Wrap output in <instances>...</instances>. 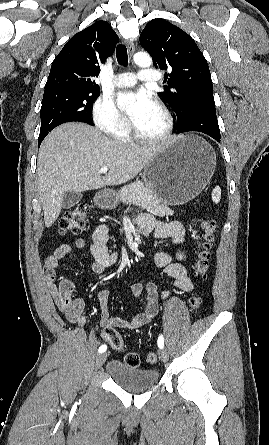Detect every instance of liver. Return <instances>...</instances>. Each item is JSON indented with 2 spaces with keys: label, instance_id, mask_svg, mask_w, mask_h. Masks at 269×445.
Here are the masks:
<instances>
[{
  "label": "liver",
  "instance_id": "liver-1",
  "mask_svg": "<svg viewBox=\"0 0 269 445\" xmlns=\"http://www.w3.org/2000/svg\"><path fill=\"white\" fill-rule=\"evenodd\" d=\"M165 145L123 144L79 122L63 124L45 138L37 159L36 184L47 228L58 219L63 196L126 183ZM108 167L102 176L99 170Z\"/></svg>",
  "mask_w": 269,
  "mask_h": 445
}]
</instances>
